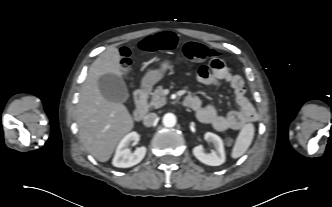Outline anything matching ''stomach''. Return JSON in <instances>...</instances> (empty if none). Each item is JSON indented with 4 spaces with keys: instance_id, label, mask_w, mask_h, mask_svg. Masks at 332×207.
<instances>
[{
    "instance_id": "1",
    "label": "stomach",
    "mask_w": 332,
    "mask_h": 207,
    "mask_svg": "<svg viewBox=\"0 0 332 207\" xmlns=\"http://www.w3.org/2000/svg\"><path fill=\"white\" fill-rule=\"evenodd\" d=\"M171 69L172 64L169 60L162 62L158 69L150 70L144 75L141 86L145 89H150L153 85L163 79L167 70Z\"/></svg>"
}]
</instances>
